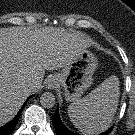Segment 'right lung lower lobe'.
Segmentation results:
<instances>
[{
    "instance_id": "98d812e1",
    "label": "right lung lower lobe",
    "mask_w": 135,
    "mask_h": 135,
    "mask_svg": "<svg viewBox=\"0 0 135 135\" xmlns=\"http://www.w3.org/2000/svg\"><path fill=\"white\" fill-rule=\"evenodd\" d=\"M27 101H28V99L26 100V102L24 103V105L22 106V108L20 109V111L18 112V114L16 115V117L12 121H10L8 124L0 127V135H10L12 133V131L15 129L16 124L19 120L22 109L26 105Z\"/></svg>"
}]
</instances>
